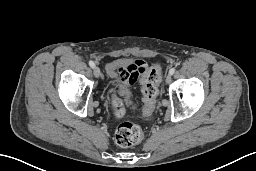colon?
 Masks as SVG:
<instances>
[{"instance_id": "obj_1", "label": "colon", "mask_w": 256, "mask_h": 171, "mask_svg": "<svg viewBox=\"0 0 256 171\" xmlns=\"http://www.w3.org/2000/svg\"><path fill=\"white\" fill-rule=\"evenodd\" d=\"M161 79V67L159 64L151 66L143 75V99L146 107L152 108L155 105L158 94V84ZM113 111L121 117L125 111V103L120 98L113 100ZM144 132L140 125L133 122L121 123L115 133L116 143L121 147H130L140 143Z\"/></svg>"}]
</instances>
